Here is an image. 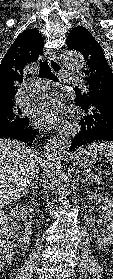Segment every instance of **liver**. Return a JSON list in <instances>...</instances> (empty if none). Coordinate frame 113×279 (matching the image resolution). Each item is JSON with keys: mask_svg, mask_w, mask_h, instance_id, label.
Wrapping results in <instances>:
<instances>
[{"mask_svg": "<svg viewBox=\"0 0 113 279\" xmlns=\"http://www.w3.org/2000/svg\"><path fill=\"white\" fill-rule=\"evenodd\" d=\"M40 157L16 140L0 139V207L24 196L38 172Z\"/></svg>", "mask_w": 113, "mask_h": 279, "instance_id": "6515ba94", "label": "liver"}]
</instances>
